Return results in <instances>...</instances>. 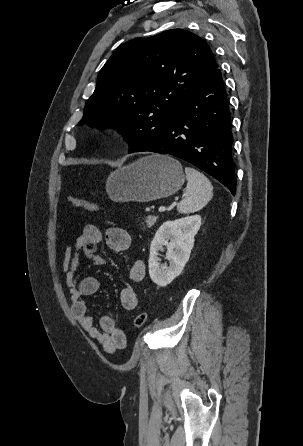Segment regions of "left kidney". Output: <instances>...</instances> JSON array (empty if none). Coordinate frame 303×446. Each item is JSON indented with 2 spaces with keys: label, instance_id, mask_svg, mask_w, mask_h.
Returning a JSON list of instances; mask_svg holds the SVG:
<instances>
[{
  "label": "left kidney",
  "instance_id": "5707ae66",
  "mask_svg": "<svg viewBox=\"0 0 303 446\" xmlns=\"http://www.w3.org/2000/svg\"><path fill=\"white\" fill-rule=\"evenodd\" d=\"M201 226L199 215L164 222L157 230L150 246L149 274L158 286L165 287L179 276L188 262L194 237ZM166 246L169 267L160 266L158 251Z\"/></svg>",
  "mask_w": 303,
  "mask_h": 446
}]
</instances>
